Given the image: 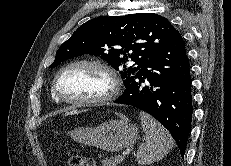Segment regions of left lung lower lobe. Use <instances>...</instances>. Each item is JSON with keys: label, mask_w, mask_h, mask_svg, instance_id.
<instances>
[{"label": "left lung lower lobe", "mask_w": 231, "mask_h": 166, "mask_svg": "<svg viewBox=\"0 0 231 166\" xmlns=\"http://www.w3.org/2000/svg\"><path fill=\"white\" fill-rule=\"evenodd\" d=\"M191 82L185 43L176 30L135 73L124 93L114 102L152 115L169 130L184 156L193 110Z\"/></svg>", "instance_id": "1"}]
</instances>
